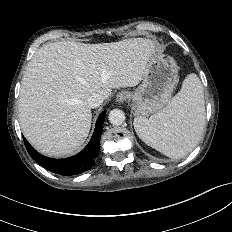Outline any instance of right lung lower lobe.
<instances>
[{
    "mask_svg": "<svg viewBox=\"0 0 232 232\" xmlns=\"http://www.w3.org/2000/svg\"><path fill=\"white\" fill-rule=\"evenodd\" d=\"M106 110L99 116L93 136L88 145L77 155L66 159H52L39 154L24 138L25 147L29 155L45 169L60 174L76 175L89 170L95 163L100 150V138Z\"/></svg>",
    "mask_w": 232,
    "mask_h": 232,
    "instance_id": "right-lung-lower-lobe-1",
    "label": "right lung lower lobe"
}]
</instances>
